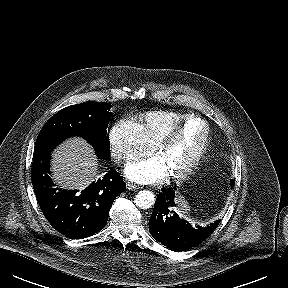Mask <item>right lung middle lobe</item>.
<instances>
[{
	"mask_svg": "<svg viewBox=\"0 0 288 288\" xmlns=\"http://www.w3.org/2000/svg\"><path fill=\"white\" fill-rule=\"evenodd\" d=\"M110 103L84 102L57 112L41 129L34 154L50 152L64 139L80 136L88 141L101 159L110 157L107 127L112 117Z\"/></svg>",
	"mask_w": 288,
	"mask_h": 288,
	"instance_id": "obj_1",
	"label": "right lung middle lobe"
}]
</instances>
